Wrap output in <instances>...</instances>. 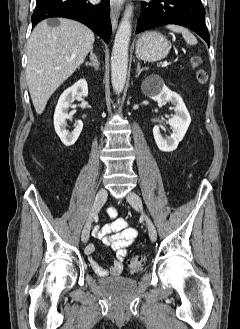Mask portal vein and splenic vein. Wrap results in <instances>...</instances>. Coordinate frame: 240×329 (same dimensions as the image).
<instances>
[{
    "mask_svg": "<svg viewBox=\"0 0 240 329\" xmlns=\"http://www.w3.org/2000/svg\"><path fill=\"white\" fill-rule=\"evenodd\" d=\"M168 65H169L168 61H164V62L162 63V67H166V66H168Z\"/></svg>",
    "mask_w": 240,
    "mask_h": 329,
    "instance_id": "1",
    "label": "portal vein and splenic vein"
}]
</instances>
